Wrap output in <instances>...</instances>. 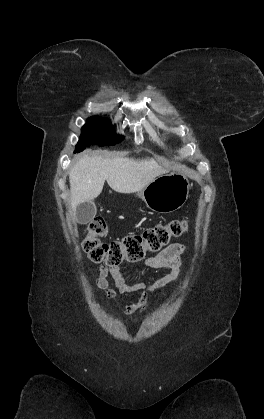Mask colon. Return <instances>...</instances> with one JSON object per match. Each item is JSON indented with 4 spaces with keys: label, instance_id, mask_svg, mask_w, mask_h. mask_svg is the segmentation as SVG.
I'll return each instance as SVG.
<instances>
[{
    "label": "colon",
    "instance_id": "5ec220e1",
    "mask_svg": "<svg viewBox=\"0 0 264 419\" xmlns=\"http://www.w3.org/2000/svg\"><path fill=\"white\" fill-rule=\"evenodd\" d=\"M186 227L184 220L174 219L147 228L142 234H132L121 240L103 242L100 237L106 234L107 224L103 217H96L88 226L83 249L91 261L117 268L124 262L140 261L149 252H159L171 239L180 237Z\"/></svg>",
    "mask_w": 264,
    "mask_h": 419
}]
</instances>
